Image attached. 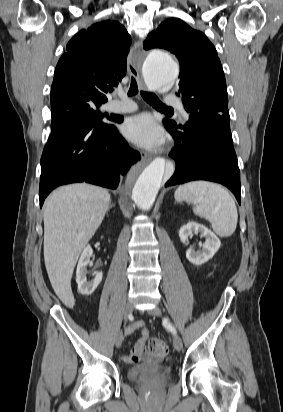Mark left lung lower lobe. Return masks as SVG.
Segmentation results:
<instances>
[{
	"label": "left lung lower lobe",
	"instance_id": "0a47b994",
	"mask_svg": "<svg viewBox=\"0 0 283 412\" xmlns=\"http://www.w3.org/2000/svg\"><path fill=\"white\" fill-rule=\"evenodd\" d=\"M165 127L175 140L170 156L176 162L175 173L165 186L193 180L218 182L228 187L241 204L240 171L235 151L212 144L199 130L166 121Z\"/></svg>",
	"mask_w": 283,
	"mask_h": 412
}]
</instances>
